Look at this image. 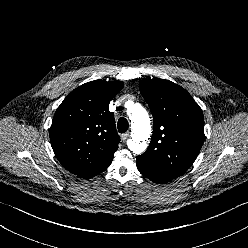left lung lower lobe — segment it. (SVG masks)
I'll return each mask as SVG.
<instances>
[{"label":"left lung lower lobe","mask_w":248,"mask_h":248,"mask_svg":"<svg viewBox=\"0 0 248 248\" xmlns=\"http://www.w3.org/2000/svg\"><path fill=\"white\" fill-rule=\"evenodd\" d=\"M137 168L138 170L140 171V173H142L144 176H146L147 178H149L150 180H152L153 182H158V183H164L166 181H164L163 179L157 177V176H154V175H150L149 173H147L143 168L142 166L137 163Z\"/></svg>","instance_id":"left-lung-lower-lobe-1"}]
</instances>
